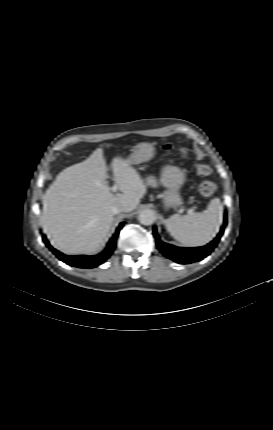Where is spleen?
Listing matches in <instances>:
<instances>
[{
  "label": "spleen",
  "instance_id": "obj_1",
  "mask_svg": "<svg viewBox=\"0 0 273 430\" xmlns=\"http://www.w3.org/2000/svg\"><path fill=\"white\" fill-rule=\"evenodd\" d=\"M223 207L219 198L210 201L206 211L186 215L175 214L166 220L170 235L187 246L210 242L220 228Z\"/></svg>",
  "mask_w": 273,
  "mask_h": 430
}]
</instances>
